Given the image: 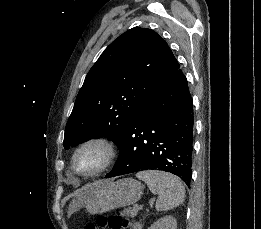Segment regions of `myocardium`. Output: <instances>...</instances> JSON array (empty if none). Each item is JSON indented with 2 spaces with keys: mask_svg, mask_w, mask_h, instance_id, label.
<instances>
[{
  "mask_svg": "<svg viewBox=\"0 0 261 229\" xmlns=\"http://www.w3.org/2000/svg\"><path fill=\"white\" fill-rule=\"evenodd\" d=\"M95 148L102 154V161L97 168L86 171L78 167L77 160L80 154L88 149ZM116 156L115 146L112 141L105 137L96 136L83 140L74 149L71 157V168L73 171L83 177L96 176L107 170L113 163Z\"/></svg>",
  "mask_w": 261,
  "mask_h": 229,
  "instance_id": "1",
  "label": "myocardium"
}]
</instances>
